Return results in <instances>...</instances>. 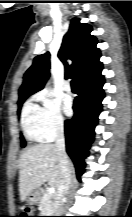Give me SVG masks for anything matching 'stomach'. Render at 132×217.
<instances>
[{
  "instance_id": "stomach-1",
  "label": "stomach",
  "mask_w": 132,
  "mask_h": 217,
  "mask_svg": "<svg viewBox=\"0 0 132 217\" xmlns=\"http://www.w3.org/2000/svg\"><path fill=\"white\" fill-rule=\"evenodd\" d=\"M42 197V191L41 189H35L33 190L26 198L28 205H36L39 203Z\"/></svg>"
}]
</instances>
